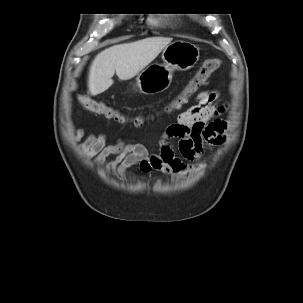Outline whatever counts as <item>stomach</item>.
Returning a JSON list of instances; mask_svg holds the SVG:
<instances>
[{"instance_id": "stomach-1", "label": "stomach", "mask_w": 303, "mask_h": 303, "mask_svg": "<svg viewBox=\"0 0 303 303\" xmlns=\"http://www.w3.org/2000/svg\"><path fill=\"white\" fill-rule=\"evenodd\" d=\"M199 57L195 44L185 40L171 42L163 49V63L150 65L139 73L136 87L147 95L163 92L171 85L174 70L191 69Z\"/></svg>"}]
</instances>
